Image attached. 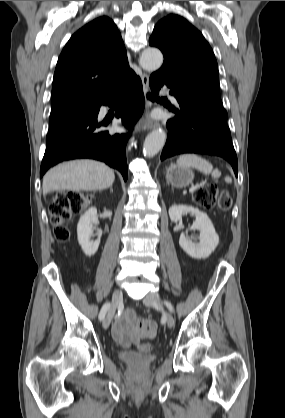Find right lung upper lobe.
Wrapping results in <instances>:
<instances>
[{
	"instance_id": "obj_1",
	"label": "right lung upper lobe",
	"mask_w": 285,
	"mask_h": 418,
	"mask_svg": "<svg viewBox=\"0 0 285 418\" xmlns=\"http://www.w3.org/2000/svg\"><path fill=\"white\" fill-rule=\"evenodd\" d=\"M134 74L116 24L106 16L98 17L79 29L62 50L51 108L106 100L129 85Z\"/></svg>"
}]
</instances>
